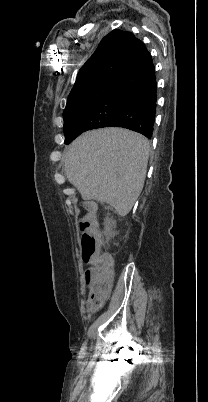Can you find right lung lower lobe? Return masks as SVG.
Segmentation results:
<instances>
[{
  "instance_id": "1",
  "label": "right lung lower lobe",
  "mask_w": 208,
  "mask_h": 402,
  "mask_svg": "<svg viewBox=\"0 0 208 402\" xmlns=\"http://www.w3.org/2000/svg\"><path fill=\"white\" fill-rule=\"evenodd\" d=\"M120 94L119 110L64 123L65 140L101 127H123L150 138L156 111L155 68L143 45L112 81ZM75 137V138H76ZM74 138V139H75Z\"/></svg>"
}]
</instances>
